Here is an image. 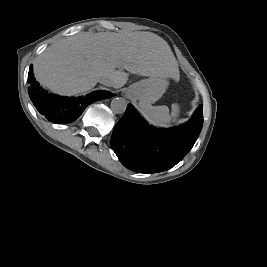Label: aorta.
<instances>
[{
    "instance_id": "aorta-1",
    "label": "aorta",
    "mask_w": 267,
    "mask_h": 267,
    "mask_svg": "<svg viewBox=\"0 0 267 267\" xmlns=\"http://www.w3.org/2000/svg\"><path fill=\"white\" fill-rule=\"evenodd\" d=\"M112 112L116 114L124 113L127 108V101L122 97L113 98L110 104Z\"/></svg>"
}]
</instances>
